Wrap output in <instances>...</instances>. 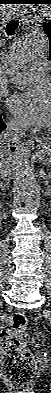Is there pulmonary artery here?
Wrapping results in <instances>:
<instances>
[{"instance_id":"pulmonary-artery-1","label":"pulmonary artery","mask_w":51,"mask_h":393,"mask_svg":"<svg viewBox=\"0 0 51 393\" xmlns=\"http://www.w3.org/2000/svg\"><path fill=\"white\" fill-rule=\"evenodd\" d=\"M49 70V64L45 61H36L30 72L17 74L13 82L19 84H33L39 79H42Z\"/></svg>"}]
</instances>
